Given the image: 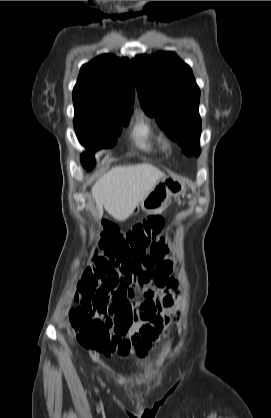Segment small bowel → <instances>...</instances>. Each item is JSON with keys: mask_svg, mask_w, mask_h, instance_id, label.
Masks as SVG:
<instances>
[{"mask_svg": "<svg viewBox=\"0 0 271 418\" xmlns=\"http://www.w3.org/2000/svg\"><path fill=\"white\" fill-rule=\"evenodd\" d=\"M167 247L168 240L158 237L149 248V255L121 263L100 257L83 274L78 293L97 291V305L85 299L81 307L90 308L91 314H97V323H105L110 331V342L98 350L100 353L125 356L134 348L137 356L144 358L159 339L168 323L166 310L173 305L177 293ZM136 295H140V300H135ZM138 311L143 314H137Z\"/></svg>", "mask_w": 271, "mask_h": 418, "instance_id": "c3829d8e", "label": "small bowel"}]
</instances>
